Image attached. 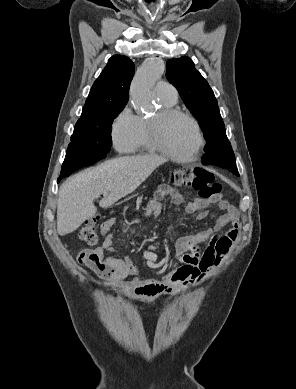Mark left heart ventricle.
<instances>
[{
    "label": "left heart ventricle",
    "mask_w": 296,
    "mask_h": 389,
    "mask_svg": "<svg viewBox=\"0 0 296 389\" xmlns=\"http://www.w3.org/2000/svg\"><path fill=\"white\" fill-rule=\"evenodd\" d=\"M158 113L152 118L157 117ZM165 145L179 156H187L197 144V135L192 123L183 117L166 121L162 128Z\"/></svg>",
    "instance_id": "obj_1"
}]
</instances>
